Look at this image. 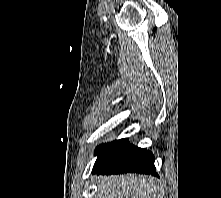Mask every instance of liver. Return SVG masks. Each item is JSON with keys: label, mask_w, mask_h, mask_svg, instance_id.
<instances>
[{"label": "liver", "mask_w": 221, "mask_h": 198, "mask_svg": "<svg viewBox=\"0 0 221 198\" xmlns=\"http://www.w3.org/2000/svg\"><path fill=\"white\" fill-rule=\"evenodd\" d=\"M99 198H163V189L153 177L112 175L98 180Z\"/></svg>", "instance_id": "liver-1"}]
</instances>
